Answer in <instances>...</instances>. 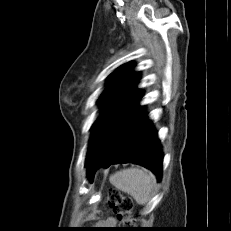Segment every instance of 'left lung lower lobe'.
<instances>
[{"mask_svg": "<svg viewBox=\"0 0 231 231\" xmlns=\"http://www.w3.org/2000/svg\"><path fill=\"white\" fill-rule=\"evenodd\" d=\"M141 97L139 91L95 143L86 159L91 180L98 168L118 163L142 165L161 179L163 153L157 131L144 112V106L139 105Z\"/></svg>", "mask_w": 231, "mask_h": 231, "instance_id": "obj_1", "label": "left lung lower lobe"}]
</instances>
